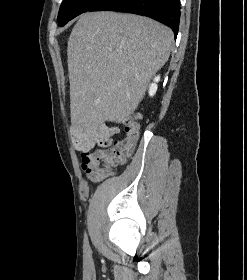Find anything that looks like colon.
<instances>
[{
	"mask_svg": "<svg viewBox=\"0 0 247 280\" xmlns=\"http://www.w3.org/2000/svg\"><path fill=\"white\" fill-rule=\"evenodd\" d=\"M126 137L115 140L107 147L98 149L83 157V169L89 175L103 178L110 174L112 166L126 160L134 148L140 131L138 117L125 121Z\"/></svg>",
	"mask_w": 247,
	"mask_h": 280,
	"instance_id": "obj_1",
	"label": "colon"
}]
</instances>
